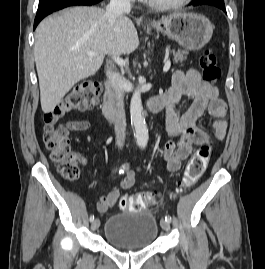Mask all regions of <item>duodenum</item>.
Returning a JSON list of instances; mask_svg holds the SVG:
<instances>
[{
  "mask_svg": "<svg viewBox=\"0 0 265 269\" xmlns=\"http://www.w3.org/2000/svg\"><path fill=\"white\" fill-rule=\"evenodd\" d=\"M105 88L103 113L108 119L114 120L117 115L115 93L109 80L105 81ZM163 107L164 100L162 96H154L147 103V109L151 113H158Z\"/></svg>",
  "mask_w": 265,
  "mask_h": 269,
  "instance_id": "obj_1",
  "label": "duodenum"
}]
</instances>
